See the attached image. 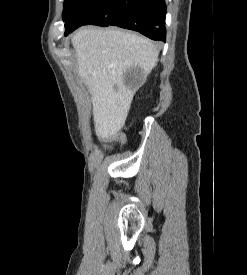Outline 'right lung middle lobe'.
<instances>
[{
    "label": "right lung middle lobe",
    "mask_w": 247,
    "mask_h": 275,
    "mask_svg": "<svg viewBox=\"0 0 247 275\" xmlns=\"http://www.w3.org/2000/svg\"><path fill=\"white\" fill-rule=\"evenodd\" d=\"M100 1L102 0H65L63 9L65 29L71 28L82 13Z\"/></svg>",
    "instance_id": "right-lung-middle-lobe-1"
}]
</instances>
